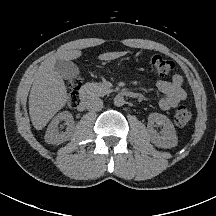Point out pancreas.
Wrapping results in <instances>:
<instances>
[{
    "label": "pancreas",
    "mask_w": 216,
    "mask_h": 216,
    "mask_svg": "<svg viewBox=\"0 0 216 216\" xmlns=\"http://www.w3.org/2000/svg\"><path fill=\"white\" fill-rule=\"evenodd\" d=\"M85 87L88 89V92L91 96H104L112 92L111 89L107 88L101 83H86Z\"/></svg>",
    "instance_id": "pancreas-1"
}]
</instances>
